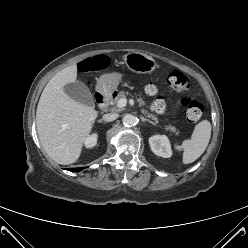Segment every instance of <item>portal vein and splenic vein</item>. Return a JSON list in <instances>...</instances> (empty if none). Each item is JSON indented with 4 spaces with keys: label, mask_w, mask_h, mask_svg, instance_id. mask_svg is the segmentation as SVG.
Segmentation results:
<instances>
[{
    "label": "portal vein and splenic vein",
    "mask_w": 248,
    "mask_h": 248,
    "mask_svg": "<svg viewBox=\"0 0 248 248\" xmlns=\"http://www.w3.org/2000/svg\"><path fill=\"white\" fill-rule=\"evenodd\" d=\"M127 104V99L124 97V98H121L118 103H117V107L118 108H122V107H125Z\"/></svg>",
    "instance_id": "obj_1"
}]
</instances>
